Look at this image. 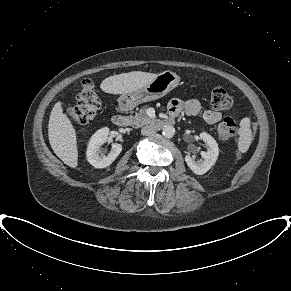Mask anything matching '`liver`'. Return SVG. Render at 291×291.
<instances>
[{
    "instance_id": "1",
    "label": "liver",
    "mask_w": 291,
    "mask_h": 291,
    "mask_svg": "<svg viewBox=\"0 0 291 291\" xmlns=\"http://www.w3.org/2000/svg\"><path fill=\"white\" fill-rule=\"evenodd\" d=\"M156 76L157 74L142 71L122 73L104 79L100 88L109 94L129 93L148 85ZM48 136L54 153L66 165L76 168L78 164L76 131L67 114L63 112L61 101H58L51 111Z\"/></svg>"
}]
</instances>
